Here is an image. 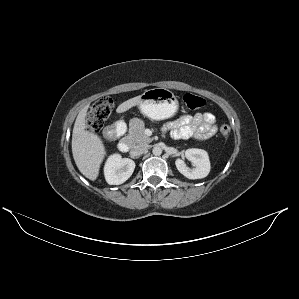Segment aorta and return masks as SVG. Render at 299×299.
<instances>
[{"mask_svg": "<svg viewBox=\"0 0 299 299\" xmlns=\"http://www.w3.org/2000/svg\"><path fill=\"white\" fill-rule=\"evenodd\" d=\"M152 153L155 155V156H159L162 154V149L159 147V146H155L152 150Z\"/></svg>", "mask_w": 299, "mask_h": 299, "instance_id": "aorta-1", "label": "aorta"}]
</instances>
